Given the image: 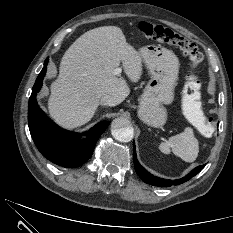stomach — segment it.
I'll return each instance as SVG.
<instances>
[{"label":"stomach","mask_w":233,"mask_h":233,"mask_svg":"<svg viewBox=\"0 0 233 233\" xmlns=\"http://www.w3.org/2000/svg\"><path fill=\"white\" fill-rule=\"evenodd\" d=\"M139 53L151 79L139 101L138 116L147 125L160 127L167 120L164 104L174 99L179 60L172 51L156 45L141 47Z\"/></svg>","instance_id":"0dacf381"}]
</instances>
